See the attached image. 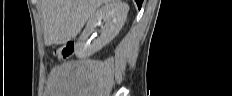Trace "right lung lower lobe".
<instances>
[{
  "label": "right lung lower lobe",
  "mask_w": 232,
  "mask_h": 96,
  "mask_svg": "<svg viewBox=\"0 0 232 96\" xmlns=\"http://www.w3.org/2000/svg\"><path fill=\"white\" fill-rule=\"evenodd\" d=\"M139 9H141L143 0H135Z\"/></svg>",
  "instance_id": "obj_1"
}]
</instances>
